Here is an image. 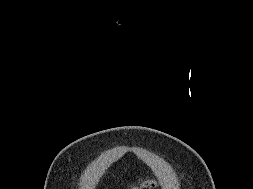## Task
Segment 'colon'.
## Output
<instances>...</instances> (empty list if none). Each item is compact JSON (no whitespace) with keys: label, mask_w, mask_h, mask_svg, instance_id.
Here are the masks:
<instances>
[{"label":"colon","mask_w":253,"mask_h":189,"mask_svg":"<svg viewBox=\"0 0 253 189\" xmlns=\"http://www.w3.org/2000/svg\"><path fill=\"white\" fill-rule=\"evenodd\" d=\"M155 186L153 180L146 179L140 181L138 184L132 185L130 189H152Z\"/></svg>","instance_id":"colon-1"}]
</instances>
